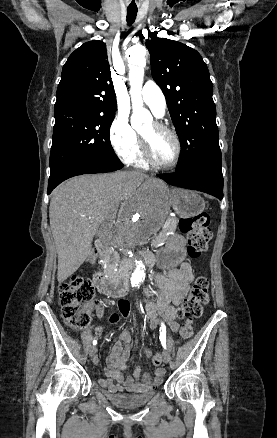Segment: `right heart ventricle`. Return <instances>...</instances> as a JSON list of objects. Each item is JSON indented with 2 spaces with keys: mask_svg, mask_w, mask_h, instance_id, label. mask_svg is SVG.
<instances>
[{
  "mask_svg": "<svg viewBox=\"0 0 277 438\" xmlns=\"http://www.w3.org/2000/svg\"><path fill=\"white\" fill-rule=\"evenodd\" d=\"M137 166L147 169L148 163L140 151H137L136 155L131 159Z\"/></svg>",
  "mask_w": 277,
  "mask_h": 438,
  "instance_id": "1",
  "label": "right heart ventricle"
}]
</instances>
